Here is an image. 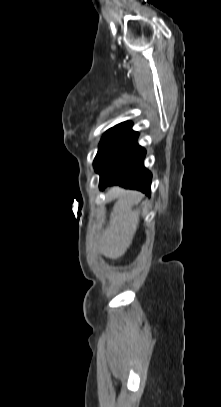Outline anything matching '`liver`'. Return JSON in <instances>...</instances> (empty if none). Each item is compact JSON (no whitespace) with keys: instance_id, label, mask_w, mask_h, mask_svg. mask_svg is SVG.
<instances>
[{"instance_id":"6515ba94","label":"liver","mask_w":221,"mask_h":407,"mask_svg":"<svg viewBox=\"0 0 221 407\" xmlns=\"http://www.w3.org/2000/svg\"><path fill=\"white\" fill-rule=\"evenodd\" d=\"M108 194L117 201L111 212L109 225L100 237L99 247L105 256L117 259L123 256L132 244L140 214L133 206L142 194L119 187L110 189Z\"/></svg>"}]
</instances>
